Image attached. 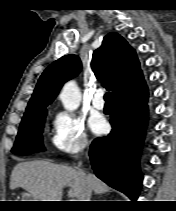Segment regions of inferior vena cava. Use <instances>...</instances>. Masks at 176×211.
Wrapping results in <instances>:
<instances>
[{"label": "inferior vena cava", "mask_w": 176, "mask_h": 211, "mask_svg": "<svg viewBox=\"0 0 176 211\" xmlns=\"http://www.w3.org/2000/svg\"><path fill=\"white\" fill-rule=\"evenodd\" d=\"M83 177L85 178V174L83 172H81ZM84 184H85V188H84V199L83 201H90L91 198V189L87 183V181L84 179Z\"/></svg>", "instance_id": "inferior-vena-cava-1"}]
</instances>
